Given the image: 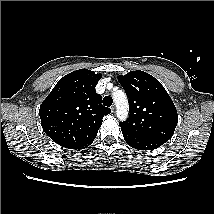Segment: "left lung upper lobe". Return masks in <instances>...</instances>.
I'll return each instance as SVG.
<instances>
[{"label": "left lung upper lobe", "mask_w": 214, "mask_h": 214, "mask_svg": "<svg viewBox=\"0 0 214 214\" xmlns=\"http://www.w3.org/2000/svg\"><path fill=\"white\" fill-rule=\"evenodd\" d=\"M118 79L130 102V115L119 124L121 130L163 144L167 142L175 131L178 115L162 84L140 70L130 71Z\"/></svg>", "instance_id": "5c2ea615"}]
</instances>
